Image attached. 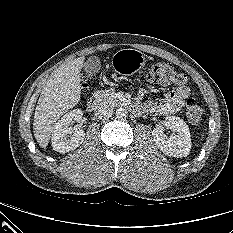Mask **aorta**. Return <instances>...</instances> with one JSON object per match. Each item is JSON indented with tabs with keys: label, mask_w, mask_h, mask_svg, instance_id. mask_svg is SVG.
Masks as SVG:
<instances>
[{
	"label": "aorta",
	"mask_w": 233,
	"mask_h": 233,
	"mask_svg": "<svg viewBox=\"0 0 233 233\" xmlns=\"http://www.w3.org/2000/svg\"><path fill=\"white\" fill-rule=\"evenodd\" d=\"M128 116V112L127 109H125L124 107H120L116 110V117L118 119H126Z\"/></svg>",
	"instance_id": "obj_1"
}]
</instances>
